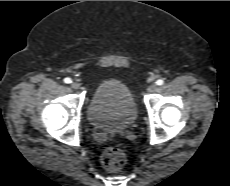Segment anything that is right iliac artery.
Instances as JSON below:
<instances>
[{
    "instance_id": "obj_1",
    "label": "right iliac artery",
    "mask_w": 230,
    "mask_h": 186,
    "mask_svg": "<svg viewBox=\"0 0 230 186\" xmlns=\"http://www.w3.org/2000/svg\"><path fill=\"white\" fill-rule=\"evenodd\" d=\"M64 82L67 83V84H69V83L72 82V80H71L70 78H65V79H64Z\"/></svg>"
}]
</instances>
